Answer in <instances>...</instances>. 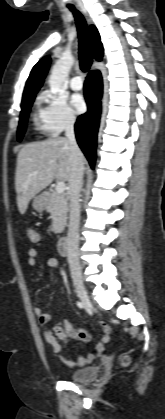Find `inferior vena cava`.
<instances>
[{"label": "inferior vena cava", "mask_w": 165, "mask_h": 419, "mask_svg": "<svg viewBox=\"0 0 165 419\" xmlns=\"http://www.w3.org/2000/svg\"><path fill=\"white\" fill-rule=\"evenodd\" d=\"M75 117L69 116L66 121L65 136L71 150L72 172L69 181V226L67 235L68 263L73 277L81 276L79 263V222L80 204L79 196L83 186L84 164L83 154L77 145L74 133Z\"/></svg>", "instance_id": "602c4592"}]
</instances>
